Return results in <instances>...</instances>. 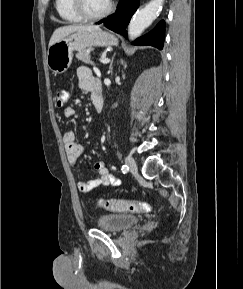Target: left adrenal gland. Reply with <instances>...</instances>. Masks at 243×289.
Instances as JSON below:
<instances>
[{"label":"left adrenal gland","instance_id":"1","mask_svg":"<svg viewBox=\"0 0 243 289\" xmlns=\"http://www.w3.org/2000/svg\"><path fill=\"white\" fill-rule=\"evenodd\" d=\"M112 70H113V65L111 64L109 67V72L112 73Z\"/></svg>","mask_w":243,"mask_h":289}]
</instances>
